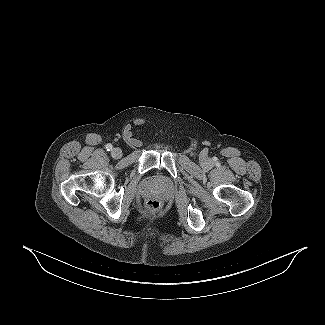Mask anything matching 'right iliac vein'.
Here are the masks:
<instances>
[{
    "mask_svg": "<svg viewBox=\"0 0 325 325\" xmlns=\"http://www.w3.org/2000/svg\"><path fill=\"white\" fill-rule=\"evenodd\" d=\"M111 155L115 159H119L122 156V150L118 147L114 148L111 152Z\"/></svg>",
    "mask_w": 325,
    "mask_h": 325,
    "instance_id": "63e3f726",
    "label": "right iliac vein"
}]
</instances>
